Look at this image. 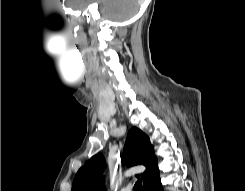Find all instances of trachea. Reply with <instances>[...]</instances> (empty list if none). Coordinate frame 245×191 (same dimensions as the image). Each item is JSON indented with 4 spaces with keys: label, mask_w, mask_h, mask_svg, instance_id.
Instances as JSON below:
<instances>
[{
    "label": "trachea",
    "mask_w": 245,
    "mask_h": 191,
    "mask_svg": "<svg viewBox=\"0 0 245 191\" xmlns=\"http://www.w3.org/2000/svg\"><path fill=\"white\" fill-rule=\"evenodd\" d=\"M133 191H142V182H141V180H138L135 183Z\"/></svg>",
    "instance_id": "3493384b"
}]
</instances>
